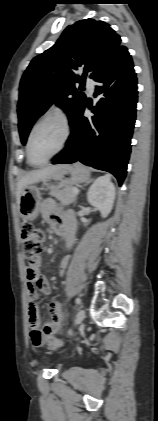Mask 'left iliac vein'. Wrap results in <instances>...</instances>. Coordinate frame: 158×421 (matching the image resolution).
I'll list each match as a JSON object with an SVG mask.
<instances>
[{
	"instance_id": "left-iliac-vein-1",
	"label": "left iliac vein",
	"mask_w": 158,
	"mask_h": 421,
	"mask_svg": "<svg viewBox=\"0 0 158 421\" xmlns=\"http://www.w3.org/2000/svg\"><path fill=\"white\" fill-rule=\"evenodd\" d=\"M84 318H85V310L80 309L76 316V320H75L76 325L80 324L84 320Z\"/></svg>"
}]
</instances>
